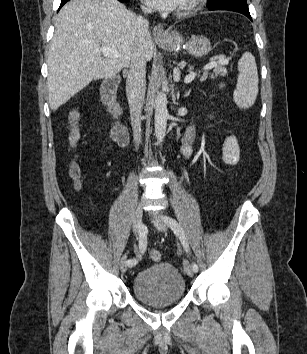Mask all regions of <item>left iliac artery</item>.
<instances>
[{"label":"left iliac artery","mask_w":307,"mask_h":354,"mask_svg":"<svg viewBox=\"0 0 307 354\" xmlns=\"http://www.w3.org/2000/svg\"><path fill=\"white\" fill-rule=\"evenodd\" d=\"M163 219H164L165 223L174 231V233H176L179 236L180 241H181L185 251L190 252L187 238H186L185 233H184L182 227L180 226V224L175 219H173L169 216H163ZM191 267L194 272H197L199 269L198 265L194 262L192 263Z\"/></svg>","instance_id":"44dca946"}]
</instances>
